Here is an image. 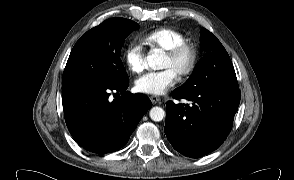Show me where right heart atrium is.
<instances>
[{
  "mask_svg": "<svg viewBox=\"0 0 294 180\" xmlns=\"http://www.w3.org/2000/svg\"><path fill=\"white\" fill-rule=\"evenodd\" d=\"M122 58L131 72L139 73L144 68L145 52L135 40H131L122 51Z\"/></svg>",
  "mask_w": 294,
  "mask_h": 180,
  "instance_id": "d8ad5b80",
  "label": "right heart atrium"
}]
</instances>
